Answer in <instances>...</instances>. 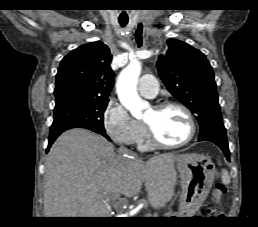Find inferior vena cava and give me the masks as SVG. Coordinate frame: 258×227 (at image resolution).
<instances>
[{
	"mask_svg": "<svg viewBox=\"0 0 258 227\" xmlns=\"http://www.w3.org/2000/svg\"><path fill=\"white\" fill-rule=\"evenodd\" d=\"M119 151L121 154L133 155V153L125 147H121Z\"/></svg>",
	"mask_w": 258,
	"mask_h": 227,
	"instance_id": "1",
	"label": "inferior vena cava"
}]
</instances>
